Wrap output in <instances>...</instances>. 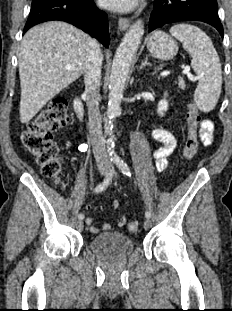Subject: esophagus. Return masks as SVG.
Wrapping results in <instances>:
<instances>
[{
	"label": "esophagus",
	"instance_id": "34e87169",
	"mask_svg": "<svg viewBox=\"0 0 232 311\" xmlns=\"http://www.w3.org/2000/svg\"><path fill=\"white\" fill-rule=\"evenodd\" d=\"M130 20L128 18H120L118 21V27L120 31H125L129 26Z\"/></svg>",
	"mask_w": 232,
	"mask_h": 311
}]
</instances>
